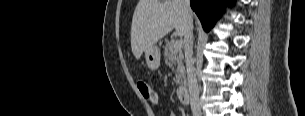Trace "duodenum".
I'll use <instances>...</instances> for the list:
<instances>
[{
  "label": "duodenum",
  "instance_id": "410a0bca",
  "mask_svg": "<svg viewBox=\"0 0 305 116\" xmlns=\"http://www.w3.org/2000/svg\"><path fill=\"white\" fill-rule=\"evenodd\" d=\"M178 98H179V101L184 105H188L190 103V94H189V89L187 86L183 85V86L179 87Z\"/></svg>",
  "mask_w": 305,
  "mask_h": 116
}]
</instances>
